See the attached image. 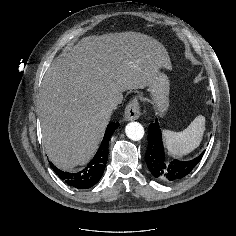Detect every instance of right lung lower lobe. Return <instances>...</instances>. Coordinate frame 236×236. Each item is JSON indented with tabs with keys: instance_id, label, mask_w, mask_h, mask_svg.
I'll return each instance as SVG.
<instances>
[{
	"instance_id": "98d812e1",
	"label": "right lung lower lobe",
	"mask_w": 236,
	"mask_h": 236,
	"mask_svg": "<svg viewBox=\"0 0 236 236\" xmlns=\"http://www.w3.org/2000/svg\"><path fill=\"white\" fill-rule=\"evenodd\" d=\"M119 123L111 122L108 124L103 141L95 154L94 158L83 170L77 173H68L59 170L52 163L53 171L69 186L77 189H87L95 185L101 178L108 159L109 140L118 128Z\"/></svg>"
}]
</instances>
